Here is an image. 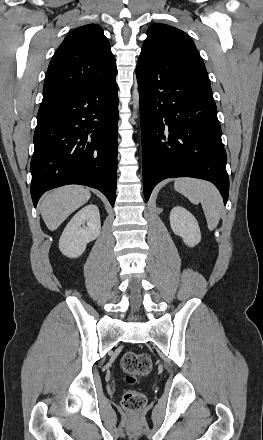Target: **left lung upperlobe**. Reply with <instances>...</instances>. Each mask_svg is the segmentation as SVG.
<instances>
[{
    "label": "left lung upper lobe",
    "mask_w": 263,
    "mask_h": 440,
    "mask_svg": "<svg viewBox=\"0 0 263 440\" xmlns=\"http://www.w3.org/2000/svg\"><path fill=\"white\" fill-rule=\"evenodd\" d=\"M138 65L151 68L172 65L210 86L204 62L192 39L182 30L166 24L154 23L148 28Z\"/></svg>",
    "instance_id": "5c2ea615"
}]
</instances>
